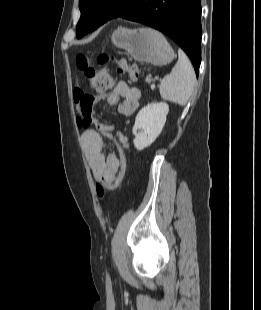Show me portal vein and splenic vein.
I'll return each mask as SVG.
<instances>
[{"label":"portal vein and splenic vein","instance_id":"portal-vein-and-splenic-vein-1","mask_svg":"<svg viewBox=\"0 0 261 310\" xmlns=\"http://www.w3.org/2000/svg\"><path fill=\"white\" fill-rule=\"evenodd\" d=\"M151 88H152V89H154V88H155V86H154V85H152V86H151Z\"/></svg>","mask_w":261,"mask_h":310}]
</instances>
